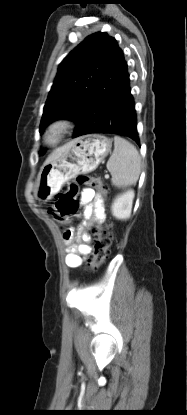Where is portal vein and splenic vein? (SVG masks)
<instances>
[{
  "instance_id": "portal-vein-and-splenic-vein-1",
  "label": "portal vein and splenic vein",
  "mask_w": 187,
  "mask_h": 415,
  "mask_svg": "<svg viewBox=\"0 0 187 415\" xmlns=\"http://www.w3.org/2000/svg\"><path fill=\"white\" fill-rule=\"evenodd\" d=\"M105 178L108 179L109 178V175L108 174H105Z\"/></svg>"
}]
</instances>
